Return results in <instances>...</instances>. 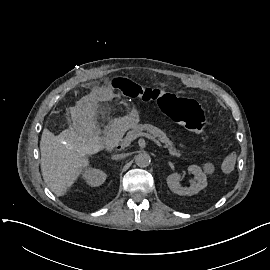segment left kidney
I'll return each instance as SVG.
<instances>
[{"mask_svg": "<svg viewBox=\"0 0 270 270\" xmlns=\"http://www.w3.org/2000/svg\"><path fill=\"white\" fill-rule=\"evenodd\" d=\"M187 171L194 175L195 180L198 181L197 183H193L189 188L188 187H182L179 183L181 179L180 173H172L167 177V185L170 188V190L179 195V196H191L195 195L198 192H200L202 189L207 187V177L202 172L201 168L192 165L187 168Z\"/></svg>", "mask_w": 270, "mask_h": 270, "instance_id": "left-kidney-1", "label": "left kidney"}]
</instances>
